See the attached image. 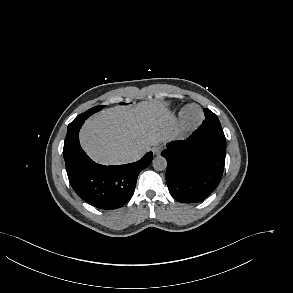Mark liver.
I'll use <instances>...</instances> for the list:
<instances>
[{"mask_svg": "<svg viewBox=\"0 0 293 293\" xmlns=\"http://www.w3.org/2000/svg\"><path fill=\"white\" fill-rule=\"evenodd\" d=\"M174 115L158 101H142L135 107L115 106L87 119L80 132L86 153L102 164L129 163V155H143L153 145L172 140Z\"/></svg>", "mask_w": 293, "mask_h": 293, "instance_id": "6515ba94", "label": "liver"}]
</instances>
